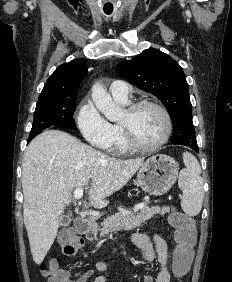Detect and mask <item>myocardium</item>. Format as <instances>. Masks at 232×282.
<instances>
[{"instance_id":"f54148a6","label":"myocardium","mask_w":232,"mask_h":282,"mask_svg":"<svg viewBox=\"0 0 232 282\" xmlns=\"http://www.w3.org/2000/svg\"><path fill=\"white\" fill-rule=\"evenodd\" d=\"M144 106L154 107L162 113L165 119V122H166V131L161 140H159L157 143L152 144V145H143V144H140L135 139L132 133V130L128 124L121 122L120 127L122 129V133H123L125 142L131 150L140 151V152H149V151H154V150L161 148L163 145H165L169 141L172 135V131H173V121H172V117L170 113L162 104L156 101H153V100H149V99H143V100H139V101L132 103L131 105L128 106L126 111L129 113H134L138 109Z\"/></svg>"}]
</instances>
